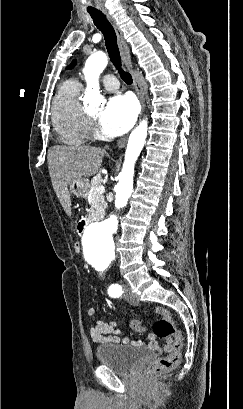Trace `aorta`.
I'll list each match as a JSON object with an SVG mask.
<instances>
[{
	"mask_svg": "<svg viewBox=\"0 0 243 409\" xmlns=\"http://www.w3.org/2000/svg\"><path fill=\"white\" fill-rule=\"evenodd\" d=\"M108 59L103 52L93 53L88 57L83 69L87 83L85 98L91 106H99L103 98L99 90V76L107 66ZM147 137V120L140 122L130 134L124 164L115 187V208L126 206L133 190L134 167ZM118 219L115 214L99 223L89 224L83 233L82 244L86 256L111 258L115 253L113 235L117 230Z\"/></svg>",
	"mask_w": 243,
	"mask_h": 409,
	"instance_id": "aorta-1",
	"label": "aorta"
}]
</instances>
